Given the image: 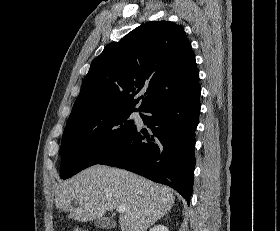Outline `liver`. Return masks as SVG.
I'll list each match as a JSON object with an SVG mask.
<instances>
[{"label": "liver", "mask_w": 280, "mask_h": 231, "mask_svg": "<svg viewBox=\"0 0 280 231\" xmlns=\"http://www.w3.org/2000/svg\"><path fill=\"white\" fill-rule=\"evenodd\" d=\"M172 191L132 171L92 165L58 185L55 205L70 211L69 217L78 221L100 219L120 205L125 207L119 219L122 231H146L170 211L174 203ZM72 199L78 201L79 207H72Z\"/></svg>", "instance_id": "1"}]
</instances>
